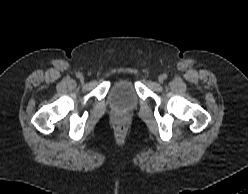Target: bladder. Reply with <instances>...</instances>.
<instances>
[{"label":"bladder","instance_id":"bladder-1","mask_svg":"<svg viewBox=\"0 0 248 194\" xmlns=\"http://www.w3.org/2000/svg\"><path fill=\"white\" fill-rule=\"evenodd\" d=\"M110 104L121 110H132L138 105V96L134 83L130 79H121L109 92Z\"/></svg>","mask_w":248,"mask_h":194}]
</instances>
